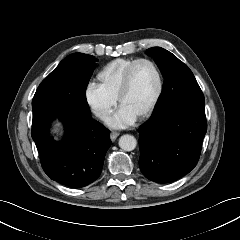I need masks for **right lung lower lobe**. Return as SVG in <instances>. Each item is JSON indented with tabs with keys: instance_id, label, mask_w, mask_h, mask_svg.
Wrapping results in <instances>:
<instances>
[{
	"instance_id": "98d812e1",
	"label": "right lung lower lobe",
	"mask_w": 240,
	"mask_h": 240,
	"mask_svg": "<svg viewBox=\"0 0 240 240\" xmlns=\"http://www.w3.org/2000/svg\"><path fill=\"white\" fill-rule=\"evenodd\" d=\"M32 109V138L45 173L71 188L94 182L111 145L109 130L92 119L90 109L53 102L38 104ZM55 118H59L65 128V137L59 142L49 134Z\"/></svg>"
}]
</instances>
